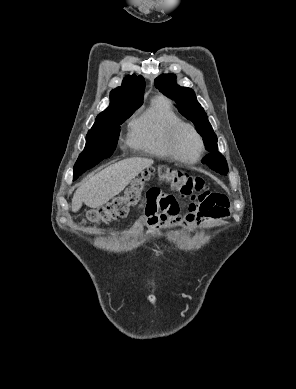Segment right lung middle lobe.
Here are the masks:
<instances>
[{"instance_id": "obj_1", "label": "right lung middle lobe", "mask_w": 296, "mask_h": 389, "mask_svg": "<svg viewBox=\"0 0 296 389\" xmlns=\"http://www.w3.org/2000/svg\"><path fill=\"white\" fill-rule=\"evenodd\" d=\"M138 107L127 108L96 119L86 136V146L80 154L74 168L85 164H98L110 157L117 145L120 124L130 117Z\"/></svg>"}]
</instances>
